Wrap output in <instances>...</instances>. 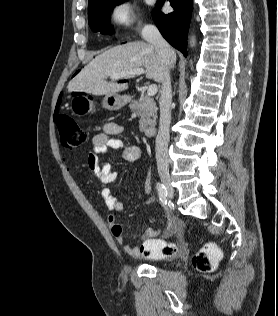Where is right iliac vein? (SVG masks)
<instances>
[{"mask_svg": "<svg viewBox=\"0 0 278 316\" xmlns=\"http://www.w3.org/2000/svg\"><path fill=\"white\" fill-rule=\"evenodd\" d=\"M160 179H161L163 185L165 186V188L167 190L168 197L170 199H172L173 196H174V189L172 187L171 179H170L169 174H167V173H160Z\"/></svg>", "mask_w": 278, "mask_h": 316, "instance_id": "right-iliac-vein-1", "label": "right iliac vein"}]
</instances>
